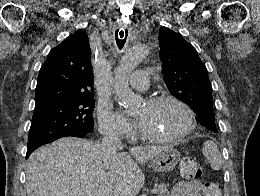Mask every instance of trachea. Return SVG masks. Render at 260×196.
<instances>
[{
	"instance_id": "1",
	"label": "trachea",
	"mask_w": 260,
	"mask_h": 196,
	"mask_svg": "<svg viewBox=\"0 0 260 196\" xmlns=\"http://www.w3.org/2000/svg\"><path fill=\"white\" fill-rule=\"evenodd\" d=\"M115 35H118V32H116ZM119 36L122 40H119L118 38H116V43H117V46L122 49L124 44L126 43V38L128 36V33L126 32L125 34L122 32L119 33Z\"/></svg>"
}]
</instances>
